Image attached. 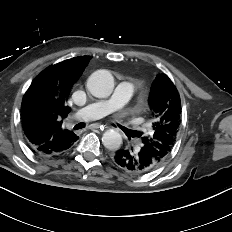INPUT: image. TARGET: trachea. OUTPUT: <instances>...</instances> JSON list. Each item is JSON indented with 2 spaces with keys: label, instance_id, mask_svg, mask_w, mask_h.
Returning <instances> with one entry per match:
<instances>
[{
  "label": "trachea",
  "instance_id": "3493384b",
  "mask_svg": "<svg viewBox=\"0 0 232 232\" xmlns=\"http://www.w3.org/2000/svg\"><path fill=\"white\" fill-rule=\"evenodd\" d=\"M83 127V123H79L78 125L75 126V129H80Z\"/></svg>",
  "mask_w": 232,
  "mask_h": 232
}]
</instances>
